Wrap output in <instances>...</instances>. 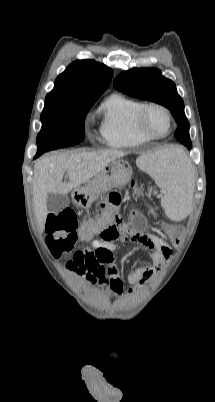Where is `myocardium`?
<instances>
[{"label": "myocardium", "instance_id": "obj_1", "mask_svg": "<svg viewBox=\"0 0 215 402\" xmlns=\"http://www.w3.org/2000/svg\"><path fill=\"white\" fill-rule=\"evenodd\" d=\"M149 109H158L160 111H162L168 121V128L167 131L163 134H156L153 133L152 131H150L145 123V115L146 112ZM172 116L171 113L169 111V109L167 107H165L164 105L157 103V102H146L143 103L140 108L137 111L136 114V127L138 129V131L145 137L149 138V139H161L166 137L172 130Z\"/></svg>", "mask_w": 215, "mask_h": 402}]
</instances>
